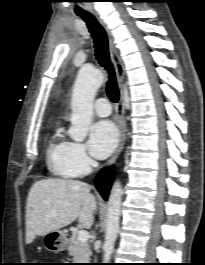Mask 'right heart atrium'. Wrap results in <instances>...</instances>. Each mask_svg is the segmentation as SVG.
<instances>
[{"label": "right heart atrium", "instance_id": "obj_1", "mask_svg": "<svg viewBox=\"0 0 205 265\" xmlns=\"http://www.w3.org/2000/svg\"><path fill=\"white\" fill-rule=\"evenodd\" d=\"M94 162L87 153L86 146L80 142H70L68 165L76 176L85 175Z\"/></svg>", "mask_w": 205, "mask_h": 265}]
</instances>
